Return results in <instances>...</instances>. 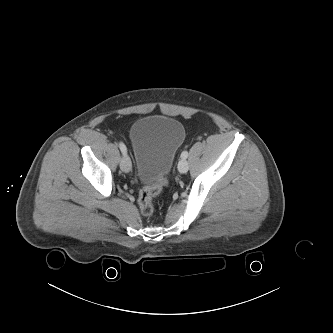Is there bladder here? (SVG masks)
Returning a JSON list of instances; mask_svg holds the SVG:
<instances>
[{"label":"bladder","instance_id":"31cf9c89","mask_svg":"<svg viewBox=\"0 0 333 333\" xmlns=\"http://www.w3.org/2000/svg\"><path fill=\"white\" fill-rule=\"evenodd\" d=\"M129 136L138 177L153 184L169 174L184 142L185 128L175 118L151 115L137 119Z\"/></svg>","mask_w":333,"mask_h":333}]
</instances>
